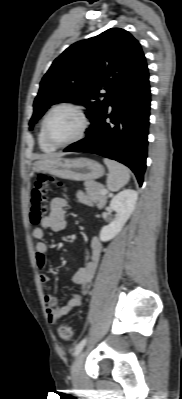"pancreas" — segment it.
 <instances>
[{
	"mask_svg": "<svg viewBox=\"0 0 182 399\" xmlns=\"http://www.w3.org/2000/svg\"><path fill=\"white\" fill-rule=\"evenodd\" d=\"M84 186L86 187L87 194L98 202V206L99 207L104 206V201L106 199L105 196L106 194L103 193L106 190L104 186L100 183L91 180L86 181L84 183Z\"/></svg>",
	"mask_w": 182,
	"mask_h": 399,
	"instance_id": "obj_1",
	"label": "pancreas"
}]
</instances>
